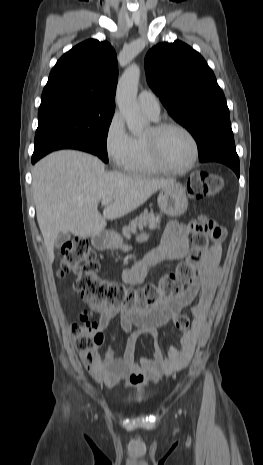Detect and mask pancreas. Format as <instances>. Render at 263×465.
<instances>
[{
    "label": "pancreas",
    "mask_w": 263,
    "mask_h": 465,
    "mask_svg": "<svg viewBox=\"0 0 263 465\" xmlns=\"http://www.w3.org/2000/svg\"><path fill=\"white\" fill-rule=\"evenodd\" d=\"M160 220V215H155L152 212L148 213L147 211H144L138 217L131 220L127 226L123 227L122 235L126 239H130L132 234H136L138 230H143L147 226L150 229L159 227Z\"/></svg>",
    "instance_id": "pancreas-1"
}]
</instances>
